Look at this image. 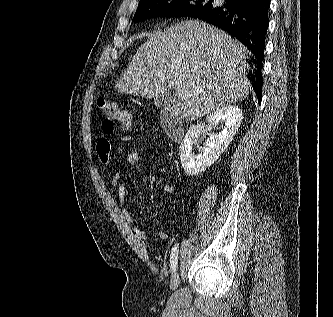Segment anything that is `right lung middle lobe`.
<instances>
[{
    "label": "right lung middle lobe",
    "instance_id": "obj_1",
    "mask_svg": "<svg viewBox=\"0 0 333 317\" xmlns=\"http://www.w3.org/2000/svg\"><path fill=\"white\" fill-rule=\"evenodd\" d=\"M216 7L213 0H140L134 22L157 16L194 17Z\"/></svg>",
    "mask_w": 333,
    "mask_h": 317
}]
</instances>
